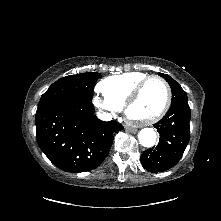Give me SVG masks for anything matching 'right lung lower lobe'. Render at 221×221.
<instances>
[{
    "instance_id": "1",
    "label": "right lung lower lobe",
    "mask_w": 221,
    "mask_h": 221,
    "mask_svg": "<svg viewBox=\"0 0 221 221\" xmlns=\"http://www.w3.org/2000/svg\"><path fill=\"white\" fill-rule=\"evenodd\" d=\"M37 142L48 159L67 172H85L99 166L108 155L113 135L124 127L101 121L94 106L63 99L37 110Z\"/></svg>"
}]
</instances>
